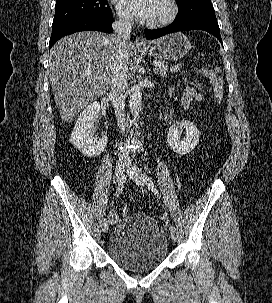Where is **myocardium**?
Masks as SVG:
<instances>
[{
	"label": "myocardium",
	"instance_id": "f54148a6",
	"mask_svg": "<svg viewBox=\"0 0 272 303\" xmlns=\"http://www.w3.org/2000/svg\"><path fill=\"white\" fill-rule=\"evenodd\" d=\"M165 3L167 4L168 11L165 16L158 20H153L149 22V26L151 27H162L169 25L172 23L179 12L178 4L176 0H165Z\"/></svg>",
	"mask_w": 272,
	"mask_h": 303
}]
</instances>
